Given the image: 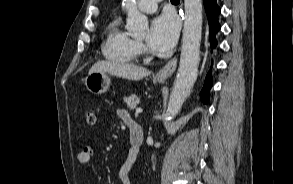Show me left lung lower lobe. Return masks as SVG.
I'll return each instance as SVG.
<instances>
[{
	"instance_id": "left-lung-lower-lobe-1",
	"label": "left lung lower lobe",
	"mask_w": 293,
	"mask_h": 184,
	"mask_svg": "<svg viewBox=\"0 0 293 184\" xmlns=\"http://www.w3.org/2000/svg\"><path fill=\"white\" fill-rule=\"evenodd\" d=\"M204 5H205L206 13L208 16V22H209L210 43H211V47L214 48L217 45L215 35L218 32V30H220V25L218 23L217 18L221 10L217 5L216 0H204ZM211 86H212V77H211V72H209L206 76L204 87L200 93L201 100L206 104L209 101V90Z\"/></svg>"
}]
</instances>
